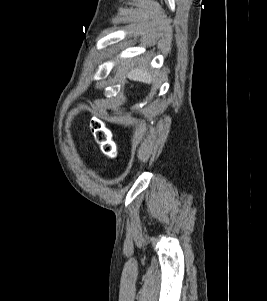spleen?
Instances as JSON below:
<instances>
[{
	"label": "spleen",
	"mask_w": 267,
	"mask_h": 301,
	"mask_svg": "<svg viewBox=\"0 0 267 301\" xmlns=\"http://www.w3.org/2000/svg\"><path fill=\"white\" fill-rule=\"evenodd\" d=\"M127 76L129 79L141 81L147 84H151L154 81V76L145 68L134 69L130 71Z\"/></svg>",
	"instance_id": "spleen-1"
}]
</instances>
